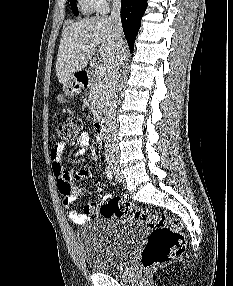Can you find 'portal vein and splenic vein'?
Wrapping results in <instances>:
<instances>
[{
    "instance_id": "1",
    "label": "portal vein and splenic vein",
    "mask_w": 233,
    "mask_h": 286,
    "mask_svg": "<svg viewBox=\"0 0 233 286\" xmlns=\"http://www.w3.org/2000/svg\"><path fill=\"white\" fill-rule=\"evenodd\" d=\"M92 46H82L81 50L85 51L88 49H91ZM106 74V68L103 64H97L95 66V75H97L98 77H103Z\"/></svg>"
}]
</instances>
